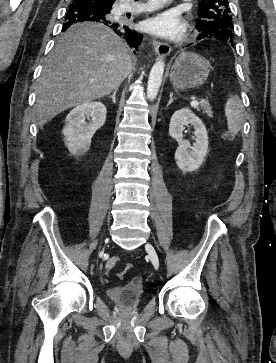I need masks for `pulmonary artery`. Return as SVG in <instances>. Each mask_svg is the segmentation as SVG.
I'll return each instance as SVG.
<instances>
[{"mask_svg": "<svg viewBox=\"0 0 276 363\" xmlns=\"http://www.w3.org/2000/svg\"><path fill=\"white\" fill-rule=\"evenodd\" d=\"M165 1L166 0H151V3L147 6H145L144 8L147 10H152V9L156 8L159 3L165 2ZM124 10L126 11L127 9H124Z\"/></svg>", "mask_w": 276, "mask_h": 363, "instance_id": "obj_1", "label": "pulmonary artery"}]
</instances>
